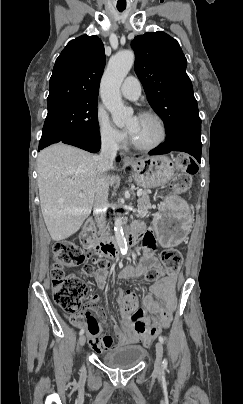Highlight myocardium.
<instances>
[{
    "instance_id": "f54148a6",
    "label": "myocardium",
    "mask_w": 243,
    "mask_h": 404,
    "mask_svg": "<svg viewBox=\"0 0 243 404\" xmlns=\"http://www.w3.org/2000/svg\"><path fill=\"white\" fill-rule=\"evenodd\" d=\"M134 33L135 32H129V34H134ZM139 116L152 117V118L156 119L160 125L161 136L155 143L149 144V145L139 144V143L135 142L132 137H130V143H131L132 147L134 149L140 150V151H152V150L158 149L167 141V138H168V126H167L165 119L158 112L153 111V110L142 111L139 114Z\"/></svg>"
}]
</instances>
